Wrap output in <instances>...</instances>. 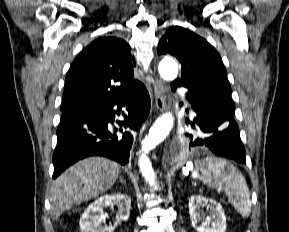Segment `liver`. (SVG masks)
I'll list each match as a JSON object with an SVG mask.
<instances>
[{
  "instance_id": "liver-1",
  "label": "liver",
  "mask_w": 289,
  "mask_h": 232,
  "mask_svg": "<svg viewBox=\"0 0 289 232\" xmlns=\"http://www.w3.org/2000/svg\"><path fill=\"white\" fill-rule=\"evenodd\" d=\"M119 165L103 157L83 159L62 173L51 188V216L60 215L91 198L108 191L119 175Z\"/></svg>"
}]
</instances>
